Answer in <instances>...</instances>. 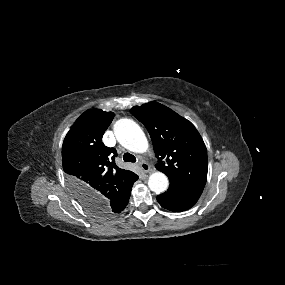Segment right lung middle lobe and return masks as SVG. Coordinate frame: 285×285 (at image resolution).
I'll list each match as a JSON object with an SVG mask.
<instances>
[{"label": "right lung middle lobe", "mask_w": 285, "mask_h": 285, "mask_svg": "<svg viewBox=\"0 0 285 285\" xmlns=\"http://www.w3.org/2000/svg\"><path fill=\"white\" fill-rule=\"evenodd\" d=\"M73 191V190H72ZM74 193V192H73ZM84 207L91 212L93 215L98 216V217H103V218H107L112 216V214L110 213V211H108L105 208H100L97 207L96 205H84Z\"/></svg>", "instance_id": "obj_1"}]
</instances>
